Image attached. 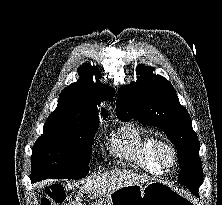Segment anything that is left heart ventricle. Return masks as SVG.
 I'll return each instance as SVG.
<instances>
[{"label":"left heart ventricle","mask_w":222,"mask_h":205,"mask_svg":"<svg viewBox=\"0 0 222 205\" xmlns=\"http://www.w3.org/2000/svg\"><path fill=\"white\" fill-rule=\"evenodd\" d=\"M164 155H165V157H168V152H165Z\"/></svg>","instance_id":"b2bd125f"}]
</instances>
